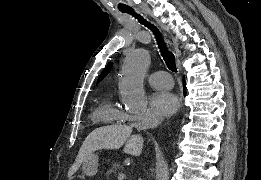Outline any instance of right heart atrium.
I'll list each match as a JSON object with an SVG mask.
<instances>
[{
  "instance_id": "1",
  "label": "right heart atrium",
  "mask_w": 261,
  "mask_h": 180,
  "mask_svg": "<svg viewBox=\"0 0 261 180\" xmlns=\"http://www.w3.org/2000/svg\"><path fill=\"white\" fill-rule=\"evenodd\" d=\"M134 127H142V125L140 124V123H138V122H134V125H133Z\"/></svg>"
}]
</instances>
